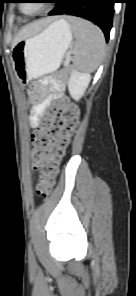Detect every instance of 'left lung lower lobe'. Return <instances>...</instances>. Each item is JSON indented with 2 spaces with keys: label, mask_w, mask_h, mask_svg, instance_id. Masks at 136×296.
Wrapping results in <instances>:
<instances>
[{
  "label": "left lung lower lobe",
  "mask_w": 136,
  "mask_h": 296,
  "mask_svg": "<svg viewBox=\"0 0 136 296\" xmlns=\"http://www.w3.org/2000/svg\"><path fill=\"white\" fill-rule=\"evenodd\" d=\"M116 0H55L49 15L68 14L85 18L98 25L109 40Z\"/></svg>",
  "instance_id": "0a47b994"
}]
</instances>
